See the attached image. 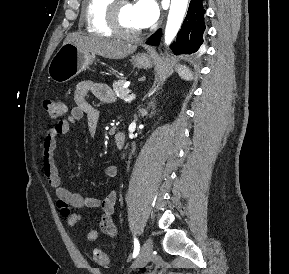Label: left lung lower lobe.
I'll return each instance as SVG.
<instances>
[{
    "mask_svg": "<svg viewBox=\"0 0 289 274\" xmlns=\"http://www.w3.org/2000/svg\"><path fill=\"white\" fill-rule=\"evenodd\" d=\"M203 0H191L187 16L177 34L176 42L171 45L172 51L178 54H192L199 50L203 43L205 31ZM161 29L157 30L146 44L157 46L160 42Z\"/></svg>",
    "mask_w": 289,
    "mask_h": 274,
    "instance_id": "obj_1",
    "label": "left lung lower lobe"
}]
</instances>
